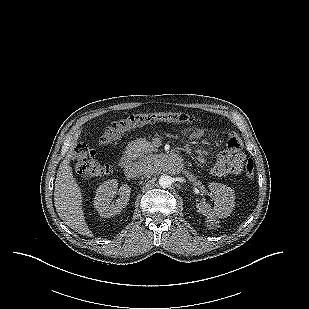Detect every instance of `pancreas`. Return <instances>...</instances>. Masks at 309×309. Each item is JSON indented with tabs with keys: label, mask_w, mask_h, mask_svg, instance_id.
<instances>
[{
	"label": "pancreas",
	"mask_w": 309,
	"mask_h": 309,
	"mask_svg": "<svg viewBox=\"0 0 309 309\" xmlns=\"http://www.w3.org/2000/svg\"><path fill=\"white\" fill-rule=\"evenodd\" d=\"M138 152H137V157L140 159V160H143L146 155L152 151V146L149 142H146V141H142V142H139L138 143Z\"/></svg>",
	"instance_id": "cf45deb5"
}]
</instances>
